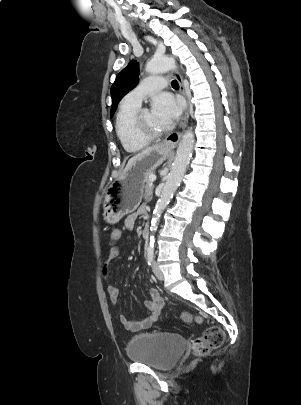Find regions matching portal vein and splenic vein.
I'll list each match as a JSON object with an SVG mask.
<instances>
[{
  "mask_svg": "<svg viewBox=\"0 0 301 405\" xmlns=\"http://www.w3.org/2000/svg\"><path fill=\"white\" fill-rule=\"evenodd\" d=\"M149 180H150L151 182H154V181L156 180V176H155V175H150V176H149Z\"/></svg>",
  "mask_w": 301,
  "mask_h": 405,
  "instance_id": "1",
  "label": "portal vein and splenic vein"
}]
</instances>
